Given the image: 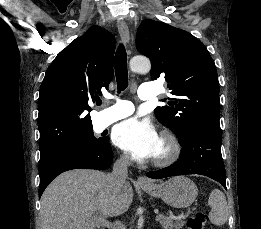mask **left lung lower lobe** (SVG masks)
I'll return each mask as SVG.
<instances>
[{
  "label": "left lung lower lobe",
  "mask_w": 261,
  "mask_h": 229,
  "mask_svg": "<svg viewBox=\"0 0 261 229\" xmlns=\"http://www.w3.org/2000/svg\"><path fill=\"white\" fill-rule=\"evenodd\" d=\"M222 135L207 128L191 132L182 142L180 159L170 167L151 171L147 176L161 179L176 175L199 174L208 176L226 188V172L221 155Z\"/></svg>",
  "instance_id": "0a47b994"
}]
</instances>
